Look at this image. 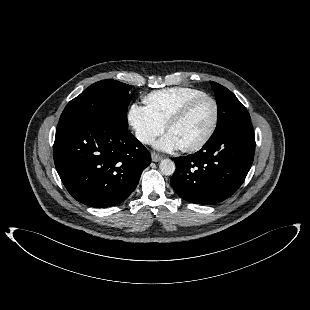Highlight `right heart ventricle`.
<instances>
[{
  "mask_svg": "<svg viewBox=\"0 0 310 310\" xmlns=\"http://www.w3.org/2000/svg\"><path fill=\"white\" fill-rule=\"evenodd\" d=\"M205 95L203 91L188 87H172L157 90L145 96L146 107L163 124L190 99Z\"/></svg>",
  "mask_w": 310,
  "mask_h": 310,
  "instance_id": "right-heart-ventricle-1",
  "label": "right heart ventricle"
}]
</instances>
